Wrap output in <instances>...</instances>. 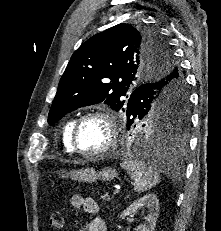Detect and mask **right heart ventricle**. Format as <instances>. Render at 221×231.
I'll use <instances>...</instances> for the list:
<instances>
[{"mask_svg": "<svg viewBox=\"0 0 221 231\" xmlns=\"http://www.w3.org/2000/svg\"><path fill=\"white\" fill-rule=\"evenodd\" d=\"M74 122V119H69L62 127V144L64 150L68 153H73V149L71 146V130Z\"/></svg>", "mask_w": 221, "mask_h": 231, "instance_id": "right-heart-ventricle-1", "label": "right heart ventricle"}]
</instances>
